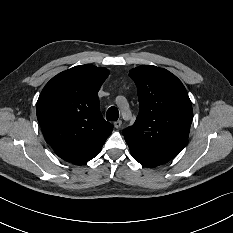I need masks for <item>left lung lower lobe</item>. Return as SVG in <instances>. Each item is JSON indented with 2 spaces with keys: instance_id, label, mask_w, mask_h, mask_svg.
<instances>
[{
  "instance_id": "1",
  "label": "left lung lower lobe",
  "mask_w": 233,
  "mask_h": 233,
  "mask_svg": "<svg viewBox=\"0 0 233 233\" xmlns=\"http://www.w3.org/2000/svg\"><path fill=\"white\" fill-rule=\"evenodd\" d=\"M126 142L134 159L146 167H156L171 160V158L148 151L132 142Z\"/></svg>"
}]
</instances>
